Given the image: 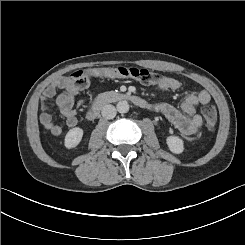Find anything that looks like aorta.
Listing matches in <instances>:
<instances>
[{
	"mask_svg": "<svg viewBox=\"0 0 245 245\" xmlns=\"http://www.w3.org/2000/svg\"><path fill=\"white\" fill-rule=\"evenodd\" d=\"M117 111L121 114L127 113L129 111V104L127 101H119L116 105Z\"/></svg>",
	"mask_w": 245,
	"mask_h": 245,
	"instance_id": "762f6f07",
	"label": "aorta"
}]
</instances>
